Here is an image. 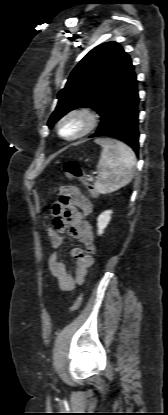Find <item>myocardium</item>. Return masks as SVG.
Returning <instances> with one entry per match:
<instances>
[{
  "mask_svg": "<svg viewBox=\"0 0 168 415\" xmlns=\"http://www.w3.org/2000/svg\"><path fill=\"white\" fill-rule=\"evenodd\" d=\"M73 116H79L84 119L85 126L84 128L76 135L66 137L62 134L61 127L63 122ZM99 123V114L91 107L88 106H80L76 108H72L64 113L57 123V132L58 135L66 140V141H75L79 140L88 134H90L98 125Z\"/></svg>",
  "mask_w": 168,
  "mask_h": 415,
  "instance_id": "obj_1",
  "label": "myocardium"
}]
</instances>
